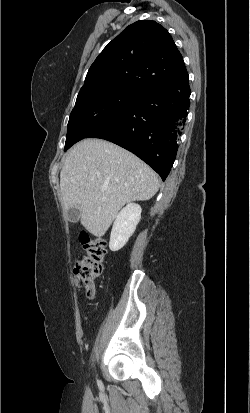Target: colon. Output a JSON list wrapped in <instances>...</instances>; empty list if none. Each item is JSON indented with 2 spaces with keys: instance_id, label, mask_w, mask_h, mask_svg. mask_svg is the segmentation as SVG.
Masks as SVG:
<instances>
[{
  "instance_id": "1",
  "label": "colon",
  "mask_w": 250,
  "mask_h": 413,
  "mask_svg": "<svg viewBox=\"0 0 250 413\" xmlns=\"http://www.w3.org/2000/svg\"><path fill=\"white\" fill-rule=\"evenodd\" d=\"M80 243L83 247L84 255L77 259L74 275L85 287L87 296L91 297L93 294V282L100 276L103 270L106 244L104 240L91 237L85 232L80 235Z\"/></svg>"
}]
</instances>
